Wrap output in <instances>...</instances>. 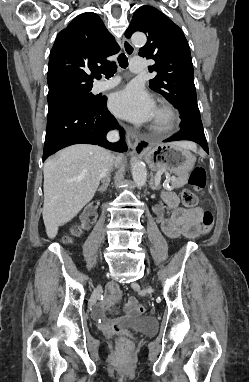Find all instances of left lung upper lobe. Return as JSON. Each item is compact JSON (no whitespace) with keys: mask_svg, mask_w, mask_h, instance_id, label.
<instances>
[{"mask_svg":"<svg viewBox=\"0 0 249 382\" xmlns=\"http://www.w3.org/2000/svg\"><path fill=\"white\" fill-rule=\"evenodd\" d=\"M136 31L148 35L139 55L155 61L149 71L157 75L149 87L175 106L181 119H201L190 48L182 30L158 9L145 5L135 11L125 36Z\"/></svg>","mask_w":249,"mask_h":382,"instance_id":"obj_1","label":"left lung upper lobe"}]
</instances>
